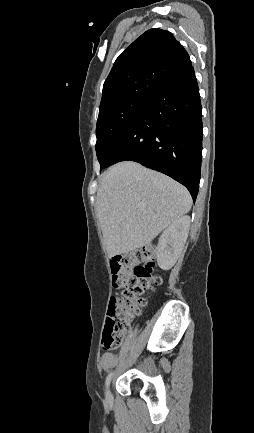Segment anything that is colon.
Listing matches in <instances>:
<instances>
[{"mask_svg": "<svg viewBox=\"0 0 254 433\" xmlns=\"http://www.w3.org/2000/svg\"><path fill=\"white\" fill-rule=\"evenodd\" d=\"M113 286L121 291L110 300L102 347H119L131 319L146 304L145 295L162 283L155 271V248L145 247L118 255L111 263Z\"/></svg>", "mask_w": 254, "mask_h": 433, "instance_id": "1", "label": "colon"}]
</instances>
